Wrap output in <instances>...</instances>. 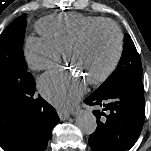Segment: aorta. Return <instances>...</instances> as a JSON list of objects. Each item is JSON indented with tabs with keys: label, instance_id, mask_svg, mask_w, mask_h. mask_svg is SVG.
<instances>
[{
	"label": "aorta",
	"instance_id": "obj_1",
	"mask_svg": "<svg viewBox=\"0 0 151 151\" xmlns=\"http://www.w3.org/2000/svg\"><path fill=\"white\" fill-rule=\"evenodd\" d=\"M76 123L78 128L86 135L95 132L97 128L96 117L92 112L81 110L76 116Z\"/></svg>",
	"mask_w": 151,
	"mask_h": 151
}]
</instances>
